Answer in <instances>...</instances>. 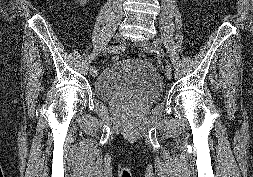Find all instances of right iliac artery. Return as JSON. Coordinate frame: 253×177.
Listing matches in <instances>:
<instances>
[{"label":"right iliac artery","mask_w":253,"mask_h":177,"mask_svg":"<svg viewBox=\"0 0 253 177\" xmlns=\"http://www.w3.org/2000/svg\"><path fill=\"white\" fill-rule=\"evenodd\" d=\"M122 50H124V47L121 45H117V46H110V47H105V49L103 50L104 52H108V53H119ZM99 63V60L96 59V54H93V60L92 63L90 64V69L91 70H96L97 69V64Z\"/></svg>","instance_id":"right-iliac-artery-1"}]
</instances>
